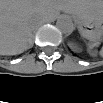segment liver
I'll use <instances>...</instances> for the list:
<instances>
[{
  "label": "liver",
  "mask_w": 103,
  "mask_h": 103,
  "mask_svg": "<svg viewBox=\"0 0 103 103\" xmlns=\"http://www.w3.org/2000/svg\"><path fill=\"white\" fill-rule=\"evenodd\" d=\"M102 2V1H101ZM80 1L4 0L1 1V49L4 54L19 52L31 37L38 21H52L59 11L70 13Z\"/></svg>",
  "instance_id": "obj_1"
}]
</instances>
